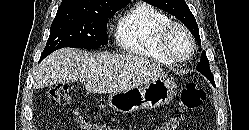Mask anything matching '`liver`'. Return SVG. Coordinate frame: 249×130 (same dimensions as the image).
I'll return each instance as SVG.
<instances>
[{
  "label": "liver",
  "instance_id": "6515ba94",
  "mask_svg": "<svg viewBox=\"0 0 249 130\" xmlns=\"http://www.w3.org/2000/svg\"><path fill=\"white\" fill-rule=\"evenodd\" d=\"M167 78L165 71L146 58L89 53L72 48L53 52L39 65L34 88L80 81L90 93H118Z\"/></svg>",
  "mask_w": 249,
  "mask_h": 130
}]
</instances>
